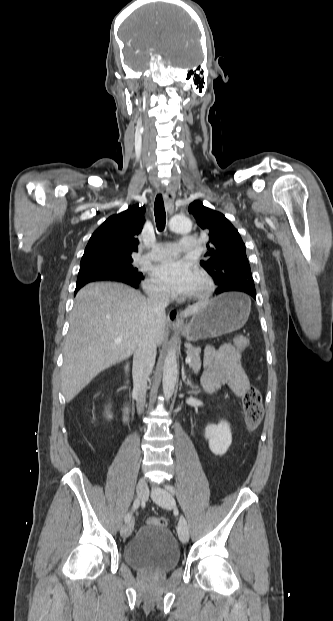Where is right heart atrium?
<instances>
[{
  "label": "right heart atrium",
  "instance_id": "obj_1",
  "mask_svg": "<svg viewBox=\"0 0 333 621\" xmlns=\"http://www.w3.org/2000/svg\"><path fill=\"white\" fill-rule=\"evenodd\" d=\"M144 288L145 291L154 298L165 299L168 296L167 291L152 279H147L145 281Z\"/></svg>",
  "mask_w": 333,
  "mask_h": 621
}]
</instances>
